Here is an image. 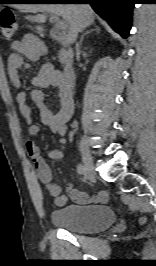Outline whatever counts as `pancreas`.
Masks as SVG:
<instances>
[{"label":"pancreas","mask_w":156,"mask_h":266,"mask_svg":"<svg viewBox=\"0 0 156 266\" xmlns=\"http://www.w3.org/2000/svg\"><path fill=\"white\" fill-rule=\"evenodd\" d=\"M73 54L71 50L62 51L59 54V62L63 65H69L72 63Z\"/></svg>","instance_id":"obj_1"}]
</instances>
